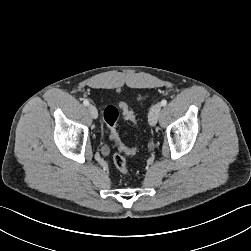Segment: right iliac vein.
<instances>
[{
    "label": "right iliac vein",
    "mask_w": 251,
    "mask_h": 251,
    "mask_svg": "<svg viewBox=\"0 0 251 251\" xmlns=\"http://www.w3.org/2000/svg\"><path fill=\"white\" fill-rule=\"evenodd\" d=\"M88 111H89L90 115L92 116V118L96 119L98 117V111L94 105H89Z\"/></svg>",
    "instance_id": "1"
}]
</instances>
